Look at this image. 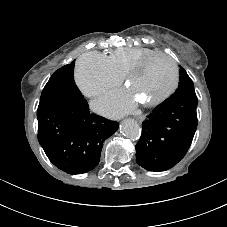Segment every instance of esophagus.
<instances>
[{
    "label": "esophagus",
    "instance_id": "obj_1",
    "mask_svg": "<svg viewBox=\"0 0 227 227\" xmlns=\"http://www.w3.org/2000/svg\"><path fill=\"white\" fill-rule=\"evenodd\" d=\"M145 118H146L145 115H139L136 117L137 121L140 123L143 122L145 120Z\"/></svg>",
    "mask_w": 227,
    "mask_h": 227
}]
</instances>
